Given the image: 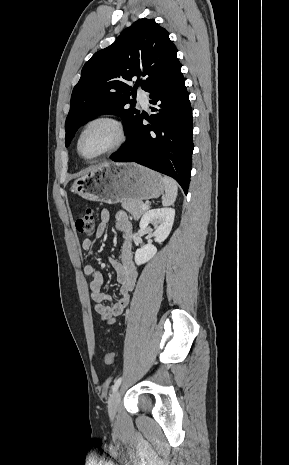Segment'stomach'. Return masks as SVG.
Listing matches in <instances>:
<instances>
[{
  "mask_svg": "<svg viewBox=\"0 0 289 465\" xmlns=\"http://www.w3.org/2000/svg\"><path fill=\"white\" fill-rule=\"evenodd\" d=\"M164 189L159 173L136 163L102 164L72 183L82 198L108 204L157 198Z\"/></svg>",
  "mask_w": 289,
  "mask_h": 465,
  "instance_id": "0dacf381",
  "label": "stomach"
}]
</instances>
